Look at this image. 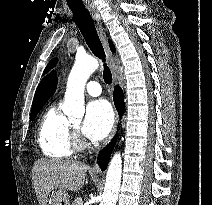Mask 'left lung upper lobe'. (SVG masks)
Instances as JSON below:
<instances>
[{"label":"left lung upper lobe","instance_id":"obj_1","mask_svg":"<svg viewBox=\"0 0 212 205\" xmlns=\"http://www.w3.org/2000/svg\"><path fill=\"white\" fill-rule=\"evenodd\" d=\"M58 59L57 58H54L50 61V63L47 65L45 71H44V74L50 69L52 68L56 63H57Z\"/></svg>","mask_w":212,"mask_h":205}]
</instances>
